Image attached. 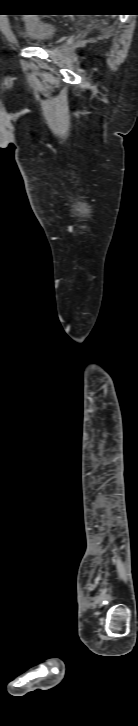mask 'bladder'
<instances>
[{
	"label": "bladder",
	"instance_id": "obj_1",
	"mask_svg": "<svg viewBox=\"0 0 138 726\" xmlns=\"http://www.w3.org/2000/svg\"><path fill=\"white\" fill-rule=\"evenodd\" d=\"M26 39L33 45L45 46L58 35L57 26L37 17H26L22 21Z\"/></svg>",
	"mask_w": 138,
	"mask_h": 726
}]
</instances>
